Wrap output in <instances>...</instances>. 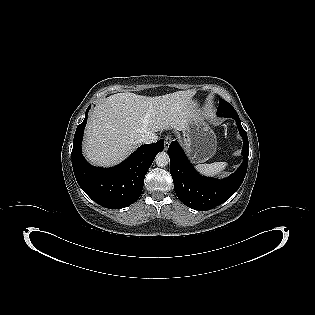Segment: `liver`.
Here are the masks:
<instances>
[{
  "instance_id": "6515ba94",
  "label": "liver",
  "mask_w": 315,
  "mask_h": 315,
  "mask_svg": "<svg viewBox=\"0 0 315 315\" xmlns=\"http://www.w3.org/2000/svg\"><path fill=\"white\" fill-rule=\"evenodd\" d=\"M195 90L147 97L117 93L91 112L83 145L86 158L97 166H112L130 155L147 133L185 131L194 116Z\"/></svg>"
}]
</instances>
